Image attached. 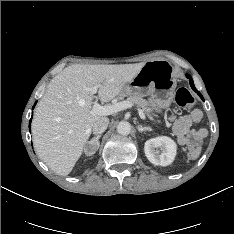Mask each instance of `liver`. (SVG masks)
<instances>
[{
	"label": "liver",
	"mask_w": 234,
	"mask_h": 234,
	"mask_svg": "<svg viewBox=\"0 0 234 234\" xmlns=\"http://www.w3.org/2000/svg\"><path fill=\"white\" fill-rule=\"evenodd\" d=\"M144 63L75 64L49 83L32 121L33 143L40 159L55 173L68 175L82 155L93 124L106 115L92 114L94 93L109 102L120 94Z\"/></svg>",
	"instance_id": "1"
}]
</instances>
